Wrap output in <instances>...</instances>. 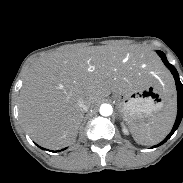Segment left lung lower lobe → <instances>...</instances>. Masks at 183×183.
I'll return each mask as SVG.
<instances>
[{"mask_svg": "<svg viewBox=\"0 0 183 183\" xmlns=\"http://www.w3.org/2000/svg\"><path fill=\"white\" fill-rule=\"evenodd\" d=\"M157 53L161 57L164 64L167 66V68L171 71V73L174 76L176 87H177L178 112H177L176 121L174 123V126H173L170 134L161 143H159L158 145H156L154 147H158V146L162 145L163 143H165L173 135V133L177 130V128H178V126H179V124L182 120V117H183V85L180 82L178 72L175 69V67L168 62L165 54L162 51H157Z\"/></svg>", "mask_w": 183, "mask_h": 183, "instance_id": "left-lung-lower-lobe-1", "label": "left lung lower lobe"}]
</instances>
